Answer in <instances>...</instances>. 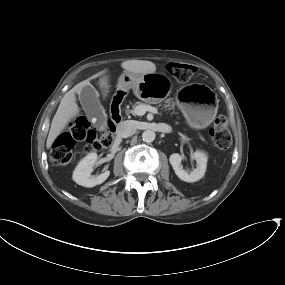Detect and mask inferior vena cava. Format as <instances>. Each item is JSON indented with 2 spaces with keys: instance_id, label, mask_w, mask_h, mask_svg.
Segmentation results:
<instances>
[{
  "instance_id": "obj_1",
  "label": "inferior vena cava",
  "mask_w": 285,
  "mask_h": 285,
  "mask_svg": "<svg viewBox=\"0 0 285 285\" xmlns=\"http://www.w3.org/2000/svg\"><path fill=\"white\" fill-rule=\"evenodd\" d=\"M136 128L131 121H123L117 125L116 134L121 138L132 136Z\"/></svg>"
}]
</instances>
